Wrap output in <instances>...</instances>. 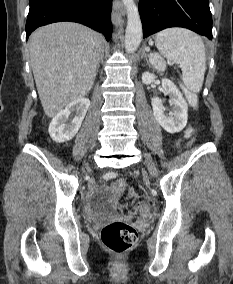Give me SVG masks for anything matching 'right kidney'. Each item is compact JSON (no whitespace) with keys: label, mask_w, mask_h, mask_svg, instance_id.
<instances>
[{"label":"right kidney","mask_w":233,"mask_h":284,"mask_svg":"<svg viewBox=\"0 0 233 284\" xmlns=\"http://www.w3.org/2000/svg\"><path fill=\"white\" fill-rule=\"evenodd\" d=\"M90 106V100L79 98L69 103L51 121L48 132L57 143L71 140L78 132L86 112ZM74 113V118L69 121V116Z\"/></svg>","instance_id":"ca27d5eb"}]
</instances>
